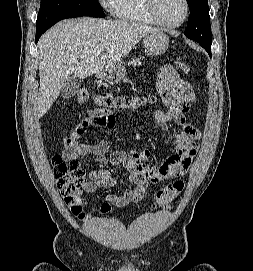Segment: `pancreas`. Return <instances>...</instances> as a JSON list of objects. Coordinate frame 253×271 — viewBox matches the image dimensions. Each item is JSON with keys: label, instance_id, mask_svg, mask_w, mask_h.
Masks as SVG:
<instances>
[{"label": "pancreas", "instance_id": "obj_1", "mask_svg": "<svg viewBox=\"0 0 253 271\" xmlns=\"http://www.w3.org/2000/svg\"><path fill=\"white\" fill-rule=\"evenodd\" d=\"M128 65H132L134 67L137 66V65H141L140 59L139 58L133 59L132 61L128 62Z\"/></svg>", "mask_w": 253, "mask_h": 271}]
</instances>
